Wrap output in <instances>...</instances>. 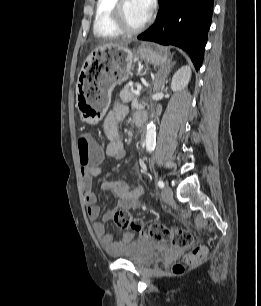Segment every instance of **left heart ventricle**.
Listing matches in <instances>:
<instances>
[{
    "instance_id": "b2bd125f",
    "label": "left heart ventricle",
    "mask_w": 261,
    "mask_h": 306,
    "mask_svg": "<svg viewBox=\"0 0 261 306\" xmlns=\"http://www.w3.org/2000/svg\"><path fill=\"white\" fill-rule=\"evenodd\" d=\"M124 12L128 23L132 26H139L145 20L146 16L141 11L135 0H126L124 3Z\"/></svg>"
}]
</instances>
